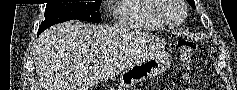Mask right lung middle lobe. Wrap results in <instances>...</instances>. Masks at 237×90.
I'll list each match as a JSON object with an SVG mask.
<instances>
[{"label":"right lung middle lobe","mask_w":237,"mask_h":90,"mask_svg":"<svg viewBox=\"0 0 237 90\" xmlns=\"http://www.w3.org/2000/svg\"><path fill=\"white\" fill-rule=\"evenodd\" d=\"M101 0L95 2L47 4L44 17L38 29V35L50 26L72 19L88 22H101L99 12Z\"/></svg>","instance_id":"right-lung-middle-lobe-1"}]
</instances>
